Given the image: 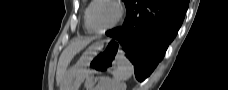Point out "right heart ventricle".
<instances>
[{
    "instance_id": "1",
    "label": "right heart ventricle",
    "mask_w": 228,
    "mask_h": 90,
    "mask_svg": "<svg viewBox=\"0 0 228 90\" xmlns=\"http://www.w3.org/2000/svg\"><path fill=\"white\" fill-rule=\"evenodd\" d=\"M89 5L85 8V11H84V24H85V28H86L87 32L90 33L91 31L87 28V25H86V12H87Z\"/></svg>"
}]
</instances>
